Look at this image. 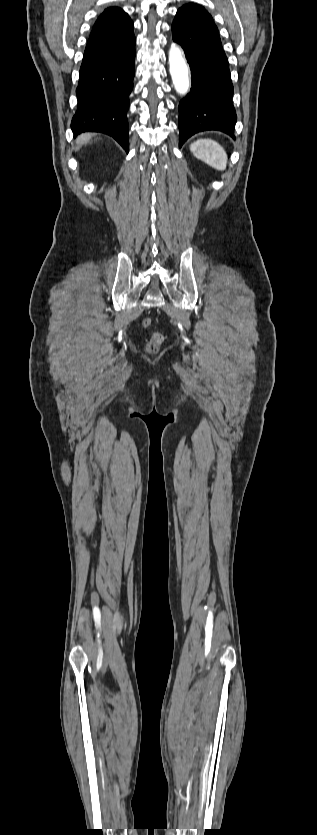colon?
<instances>
[{
  "instance_id": "5ec220e1",
  "label": "colon",
  "mask_w": 317,
  "mask_h": 835,
  "mask_svg": "<svg viewBox=\"0 0 317 835\" xmlns=\"http://www.w3.org/2000/svg\"><path fill=\"white\" fill-rule=\"evenodd\" d=\"M143 327L146 329H150L153 326V320L150 317H147L143 320ZM164 336L162 333L158 331H153L150 336V341L148 344V349L150 351H156L158 347L163 343Z\"/></svg>"
}]
</instances>
